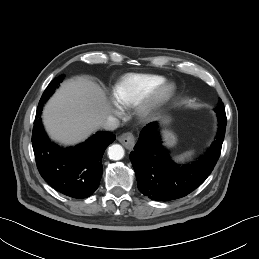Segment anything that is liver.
I'll return each mask as SVG.
<instances>
[{"mask_svg":"<svg viewBox=\"0 0 259 259\" xmlns=\"http://www.w3.org/2000/svg\"><path fill=\"white\" fill-rule=\"evenodd\" d=\"M111 114L104 91L86 77L62 83L43 111L45 128L52 139L72 145L102 127Z\"/></svg>","mask_w":259,"mask_h":259,"instance_id":"obj_1","label":"liver"}]
</instances>
